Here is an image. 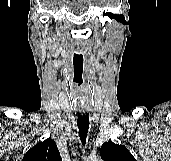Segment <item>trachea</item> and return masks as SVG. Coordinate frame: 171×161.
Masks as SVG:
<instances>
[{
    "label": "trachea",
    "mask_w": 171,
    "mask_h": 161,
    "mask_svg": "<svg viewBox=\"0 0 171 161\" xmlns=\"http://www.w3.org/2000/svg\"><path fill=\"white\" fill-rule=\"evenodd\" d=\"M80 141L83 145L86 143L87 133L89 130V117L86 114H80L77 119Z\"/></svg>",
    "instance_id": "3493384b"
}]
</instances>
